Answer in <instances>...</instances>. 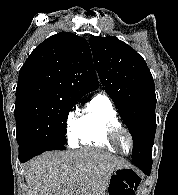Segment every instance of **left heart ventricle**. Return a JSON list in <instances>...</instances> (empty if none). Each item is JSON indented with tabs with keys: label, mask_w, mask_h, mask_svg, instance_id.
<instances>
[{
	"label": "left heart ventricle",
	"mask_w": 178,
	"mask_h": 195,
	"mask_svg": "<svg viewBox=\"0 0 178 195\" xmlns=\"http://www.w3.org/2000/svg\"><path fill=\"white\" fill-rule=\"evenodd\" d=\"M120 147L123 151L128 152L131 149V144L127 134L122 133L119 139Z\"/></svg>",
	"instance_id": "obj_1"
}]
</instances>
